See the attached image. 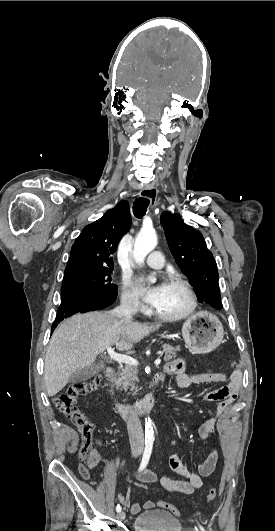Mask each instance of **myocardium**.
<instances>
[{"mask_svg": "<svg viewBox=\"0 0 275 531\" xmlns=\"http://www.w3.org/2000/svg\"><path fill=\"white\" fill-rule=\"evenodd\" d=\"M168 281L179 284L185 289L188 295V299H189L188 307L185 311H183L182 313L176 314V315H164V314L158 313L157 311L154 310V307H153V312L159 319L163 321L174 322V321L184 320L188 318L196 309V306H197L196 293L191 283L182 276L171 275L168 278Z\"/></svg>", "mask_w": 275, "mask_h": 531, "instance_id": "1", "label": "myocardium"}]
</instances>
